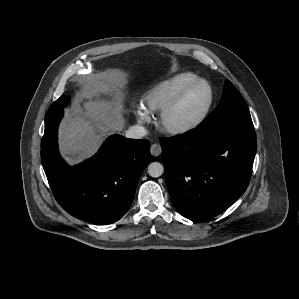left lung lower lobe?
<instances>
[{"label": "left lung lower lobe", "mask_w": 299, "mask_h": 299, "mask_svg": "<svg viewBox=\"0 0 299 299\" xmlns=\"http://www.w3.org/2000/svg\"><path fill=\"white\" fill-rule=\"evenodd\" d=\"M165 180L177 211L191 220L215 217L245 192L257 143L254 131L197 128L161 138Z\"/></svg>", "instance_id": "0a47b994"}]
</instances>
